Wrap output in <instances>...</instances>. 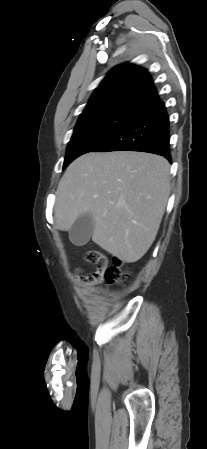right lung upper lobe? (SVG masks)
I'll list each match as a JSON object with an SVG mask.
<instances>
[{"mask_svg":"<svg viewBox=\"0 0 207 449\" xmlns=\"http://www.w3.org/2000/svg\"><path fill=\"white\" fill-rule=\"evenodd\" d=\"M157 100L159 96L148 72L136 65L122 64L109 72L80 116L110 110L136 113Z\"/></svg>","mask_w":207,"mask_h":449,"instance_id":"cb5924a9","label":"right lung upper lobe"}]
</instances>
